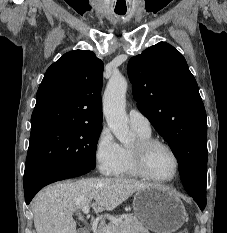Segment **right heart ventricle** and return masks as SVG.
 <instances>
[{
  "instance_id": "e07e8e85",
  "label": "right heart ventricle",
  "mask_w": 227,
  "mask_h": 233,
  "mask_svg": "<svg viewBox=\"0 0 227 233\" xmlns=\"http://www.w3.org/2000/svg\"><path fill=\"white\" fill-rule=\"evenodd\" d=\"M135 131L139 137V140L151 139V132L145 133L138 130ZM131 149L132 147L128 146L122 147V164L117 175L129 177L140 176L134 167Z\"/></svg>"
}]
</instances>
